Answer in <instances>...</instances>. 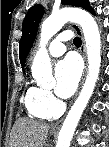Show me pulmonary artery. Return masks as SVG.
Instances as JSON below:
<instances>
[{
    "mask_svg": "<svg viewBox=\"0 0 109 147\" xmlns=\"http://www.w3.org/2000/svg\"><path fill=\"white\" fill-rule=\"evenodd\" d=\"M72 37V33H62L55 36L48 47L49 55L52 57L62 56L66 51V46L64 43L70 41Z\"/></svg>",
    "mask_w": 109,
    "mask_h": 147,
    "instance_id": "obj_1",
    "label": "pulmonary artery"
}]
</instances>
